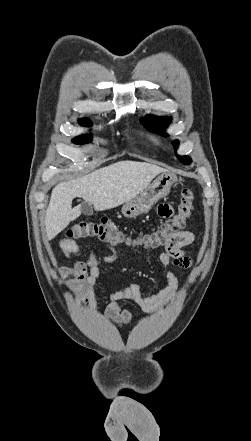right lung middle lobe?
Returning a JSON list of instances; mask_svg holds the SVG:
<instances>
[{"label": "right lung middle lobe", "mask_w": 251, "mask_h": 441, "mask_svg": "<svg viewBox=\"0 0 251 441\" xmlns=\"http://www.w3.org/2000/svg\"><path fill=\"white\" fill-rule=\"evenodd\" d=\"M80 122L84 125V126H89L90 122L88 121L87 118L81 119ZM92 136L91 135H82L79 137H76L73 142L76 144H82V143H87L89 141H91Z\"/></svg>", "instance_id": "1"}]
</instances>
